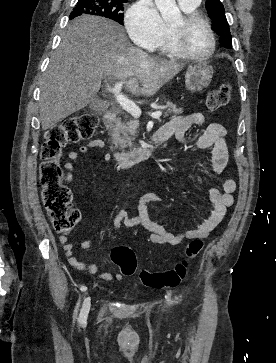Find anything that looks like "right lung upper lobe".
Listing matches in <instances>:
<instances>
[{
  "instance_id": "1",
  "label": "right lung upper lobe",
  "mask_w": 276,
  "mask_h": 363,
  "mask_svg": "<svg viewBox=\"0 0 276 363\" xmlns=\"http://www.w3.org/2000/svg\"><path fill=\"white\" fill-rule=\"evenodd\" d=\"M118 1H127V0H118Z\"/></svg>"
}]
</instances>
